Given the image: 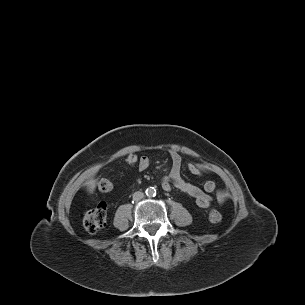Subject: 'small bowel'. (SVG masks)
Instances as JSON below:
<instances>
[{
  "label": "small bowel",
  "mask_w": 305,
  "mask_h": 305,
  "mask_svg": "<svg viewBox=\"0 0 305 305\" xmlns=\"http://www.w3.org/2000/svg\"><path fill=\"white\" fill-rule=\"evenodd\" d=\"M169 154L171 157L172 165L169 173L163 177L161 186L164 190L169 191L172 187L179 189L180 191L188 194L195 199L196 204L201 208H207L210 206L212 197L211 193L216 190V184L212 180H208L204 183L203 188L185 180L182 177L181 170L183 165V159L181 154L176 149H170ZM150 165V160L146 156H141L138 167L140 170H146ZM189 171L194 175L211 174L213 170L202 164L190 162L188 164ZM217 198L219 202H223L227 198L226 192L222 190L217 191Z\"/></svg>",
  "instance_id": "obj_1"
}]
</instances>
